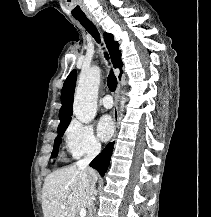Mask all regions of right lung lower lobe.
Here are the masks:
<instances>
[{
    "mask_svg": "<svg viewBox=\"0 0 211 217\" xmlns=\"http://www.w3.org/2000/svg\"><path fill=\"white\" fill-rule=\"evenodd\" d=\"M114 142L109 143L105 149L90 163V166L96 169L101 176H104V173L108 169L110 158L112 155Z\"/></svg>",
    "mask_w": 211,
    "mask_h": 217,
    "instance_id": "obj_1",
    "label": "right lung lower lobe"
}]
</instances>
